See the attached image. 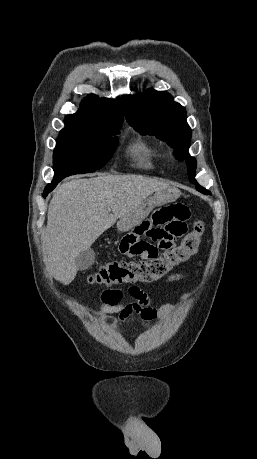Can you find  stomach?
Wrapping results in <instances>:
<instances>
[{
  "mask_svg": "<svg viewBox=\"0 0 257 459\" xmlns=\"http://www.w3.org/2000/svg\"><path fill=\"white\" fill-rule=\"evenodd\" d=\"M179 196L180 191L172 186L156 191L153 196L146 198L137 207L121 217L117 222V229L121 232L131 230L134 223H141L143 218L150 214L154 205H164L173 202Z\"/></svg>",
  "mask_w": 257,
  "mask_h": 459,
  "instance_id": "stomach-1",
  "label": "stomach"
}]
</instances>
